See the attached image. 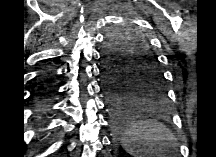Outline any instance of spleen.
<instances>
[{
  "mask_svg": "<svg viewBox=\"0 0 216 157\" xmlns=\"http://www.w3.org/2000/svg\"><path fill=\"white\" fill-rule=\"evenodd\" d=\"M122 147L133 157L158 155L176 147L175 136L161 123L150 119L133 121L121 137Z\"/></svg>",
  "mask_w": 216,
  "mask_h": 157,
  "instance_id": "spleen-1",
  "label": "spleen"
}]
</instances>
